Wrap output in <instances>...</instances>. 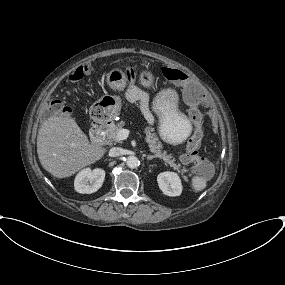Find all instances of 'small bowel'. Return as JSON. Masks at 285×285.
<instances>
[{"mask_svg":"<svg viewBox=\"0 0 285 285\" xmlns=\"http://www.w3.org/2000/svg\"><path fill=\"white\" fill-rule=\"evenodd\" d=\"M126 97L129 102L133 103L137 102L140 104V106H142V104L146 99V95L142 91L137 90L135 88H130L126 93ZM147 119L149 120V122L151 121L150 116H147ZM211 176H212V171L208 172L207 178H210Z\"/></svg>","mask_w":285,"mask_h":285,"instance_id":"1","label":"small bowel"}]
</instances>
